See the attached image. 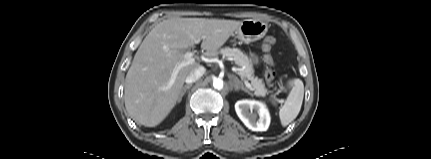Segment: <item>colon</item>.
I'll use <instances>...</instances> for the list:
<instances>
[{"label": "colon", "mask_w": 431, "mask_h": 159, "mask_svg": "<svg viewBox=\"0 0 431 159\" xmlns=\"http://www.w3.org/2000/svg\"><path fill=\"white\" fill-rule=\"evenodd\" d=\"M276 39L273 36H267L263 42V51L266 52L264 56V60L269 66V68L265 71V79L268 83H272L275 78V72L271 68L274 64L273 57L269 54L272 46L275 44Z\"/></svg>", "instance_id": "1"}]
</instances>
